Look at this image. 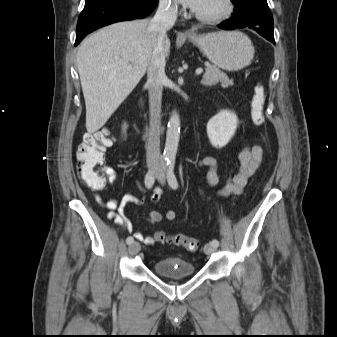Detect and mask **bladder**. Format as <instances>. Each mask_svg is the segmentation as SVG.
Wrapping results in <instances>:
<instances>
[{
	"instance_id": "obj_1",
	"label": "bladder",
	"mask_w": 337,
	"mask_h": 337,
	"mask_svg": "<svg viewBox=\"0 0 337 337\" xmlns=\"http://www.w3.org/2000/svg\"><path fill=\"white\" fill-rule=\"evenodd\" d=\"M153 269L157 275L167 278L187 277L196 273V267L190 261L177 256L156 260Z\"/></svg>"
}]
</instances>
